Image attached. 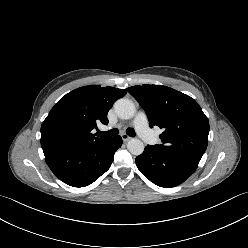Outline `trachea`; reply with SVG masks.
Segmentation results:
<instances>
[{
	"mask_svg": "<svg viewBox=\"0 0 248 248\" xmlns=\"http://www.w3.org/2000/svg\"><path fill=\"white\" fill-rule=\"evenodd\" d=\"M118 133H119L118 129H111V130L106 131V132L99 131V134L102 136H116V135H118ZM126 133L131 137H135V135H136L134 129H132V128L127 129Z\"/></svg>",
	"mask_w": 248,
	"mask_h": 248,
	"instance_id": "3493384b",
	"label": "trachea"
}]
</instances>
